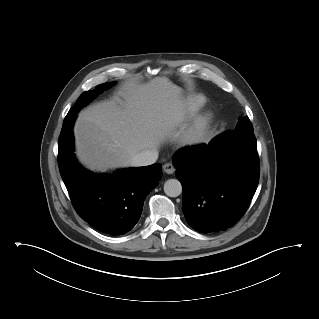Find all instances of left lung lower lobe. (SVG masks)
<instances>
[{
  "mask_svg": "<svg viewBox=\"0 0 319 319\" xmlns=\"http://www.w3.org/2000/svg\"><path fill=\"white\" fill-rule=\"evenodd\" d=\"M173 164L183 187V213L200 233L233 226L249 207L258 186L254 134L225 131L208 145L177 150Z\"/></svg>",
  "mask_w": 319,
  "mask_h": 319,
  "instance_id": "obj_1",
  "label": "left lung lower lobe"
}]
</instances>
